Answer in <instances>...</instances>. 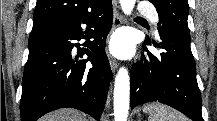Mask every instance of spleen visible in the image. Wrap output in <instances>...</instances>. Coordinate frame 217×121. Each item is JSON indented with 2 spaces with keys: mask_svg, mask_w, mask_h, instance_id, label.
<instances>
[{
  "mask_svg": "<svg viewBox=\"0 0 217 121\" xmlns=\"http://www.w3.org/2000/svg\"><path fill=\"white\" fill-rule=\"evenodd\" d=\"M143 111L149 114V121H187L178 111L159 103L149 104Z\"/></svg>",
  "mask_w": 217,
  "mask_h": 121,
  "instance_id": "spleen-1",
  "label": "spleen"
}]
</instances>
